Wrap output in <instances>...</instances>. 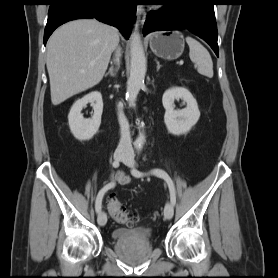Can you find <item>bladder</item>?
<instances>
[{"label": "bladder", "instance_id": "1", "mask_svg": "<svg viewBox=\"0 0 278 278\" xmlns=\"http://www.w3.org/2000/svg\"><path fill=\"white\" fill-rule=\"evenodd\" d=\"M112 238L121 243H149L152 239V233L150 230L140 227H120L112 231Z\"/></svg>", "mask_w": 278, "mask_h": 278}]
</instances>
